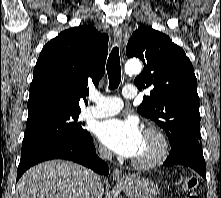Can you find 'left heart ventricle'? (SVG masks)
<instances>
[{"label":"left heart ventricle","mask_w":221,"mask_h":198,"mask_svg":"<svg viewBox=\"0 0 221 198\" xmlns=\"http://www.w3.org/2000/svg\"><path fill=\"white\" fill-rule=\"evenodd\" d=\"M156 148H157L156 141L152 137L142 135L141 144L138 150L136 151V153L133 155V158L136 159L148 158L155 152Z\"/></svg>","instance_id":"1"}]
</instances>
